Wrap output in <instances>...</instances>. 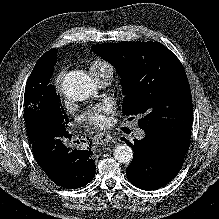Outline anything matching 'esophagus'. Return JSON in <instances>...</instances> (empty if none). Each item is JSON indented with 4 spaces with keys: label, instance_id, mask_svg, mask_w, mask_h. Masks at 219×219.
<instances>
[{
    "label": "esophagus",
    "instance_id": "34e87169",
    "mask_svg": "<svg viewBox=\"0 0 219 219\" xmlns=\"http://www.w3.org/2000/svg\"><path fill=\"white\" fill-rule=\"evenodd\" d=\"M96 137L101 143H108L113 140V137L106 132H99L97 133Z\"/></svg>",
    "mask_w": 219,
    "mask_h": 219
}]
</instances>
